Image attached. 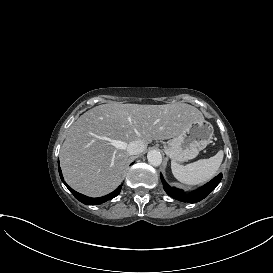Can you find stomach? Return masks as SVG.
Segmentation results:
<instances>
[{
	"label": "stomach",
	"instance_id": "0dacf381",
	"mask_svg": "<svg viewBox=\"0 0 273 273\" xmlns=\"http://www.w3.org/2000/svg\"><path fill=\"white\" fill-rule=\"evenodd\" d=\"M213 135L214 127L209 121L204 118L193 120L169 141L165 153L177 162L193 159L206 148Z\"/></svg>",
	"mask_w": 273,
	"mask_h": 273
}]
</instances>
